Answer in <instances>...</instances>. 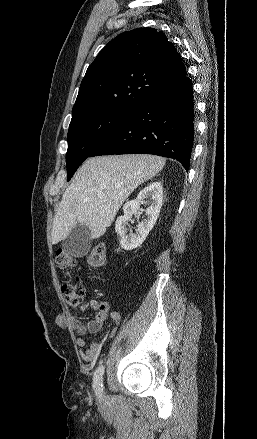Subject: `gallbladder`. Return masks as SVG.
<instances>
[{"label":"gallbladder","instance_id":"bac80fb5","mask_svg":"<svg viewBox=\"0 0 257 439\" xmlns=\"http://www.w3.org/2000/svg\"><path fill=\"white\" fill-rule=\"evenodd\" d=\"M91 241L89 228L84 225H77L62 241V248L74 257H83L90 250Z\"/></svg>","mask_w":257,"mask_h":439}]
</instances>
